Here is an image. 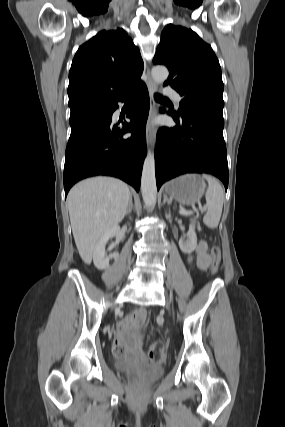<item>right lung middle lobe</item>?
Instances as JSON below:
<instances>
[{
  "instance_id": "dd1d6c3e",
  "label": "right lung middle lobe",
  "mask_w": 285,
  "mask_h": 427,
  "mask_svg": "<svg viewBox=\"0 0 285 427\" xmlns=\"http://www.w3.org/2000/svg\"><path fill=\"white\" fill-rule=\"evenodd\" d=\"M110 109V105H95L88 107L82 111L71 113L70 115V123L73 122L76 118H78L80 115L87 113V112H106Z\"/></svg>"
}]
</instances>
